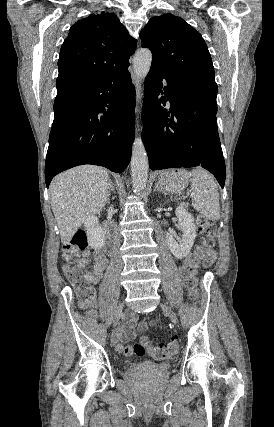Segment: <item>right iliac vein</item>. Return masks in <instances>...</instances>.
Wrapping results in <instances>:
<instances>
[{"instance_id":"right-iliac-vein-1","label":"right iliac vein","mask_w":274,"mask_h":427,"mask_svg":"<svg viewBox=\"0 0 274 427\" xmlns=\"http://www.w3.org/2000/svg\"><path fill=\"white\" fill-rule=\"evenodd\" d=\"M123 309H124V303H121V304L118 306V309H117L116 314H115V317H114V321H113V326H114V328L116 327V325L118 324L119 319H120V318H121V316H122ZM115 338H116V335L114 334V335H113V341L115 340Z\"/></svg>"}]
</instances>
